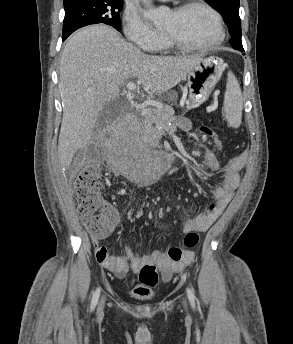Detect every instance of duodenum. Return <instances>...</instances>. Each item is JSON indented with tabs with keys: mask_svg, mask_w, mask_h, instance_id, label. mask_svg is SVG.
<instances>
[{
	"mask_svg": "<svg viewBox=\"0 0 293 344\" xmlns=\"http://www.w3.org/2000/svg\"><path fill=\"white\" fill-rule=\"evenodd\" d=\"M131 116H132V114H131V113H128L127 116H126V118H127V119H130ZM163 157H164L165 160H166L167 166H173V165H175L176 162H177V157H176L174 154H172V153H164V154H163Z\"/></svg>",
	"mask_w": 293,
	"mask_h": 344,
	"instance_id": "obj_1",
	"label": "duodenum"
}]
</instances>
